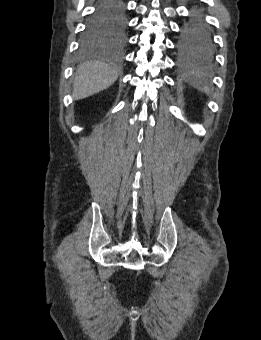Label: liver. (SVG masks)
<instances>
[{
    "label": "liver",
    "instance_id": "liver-1",
    "mask_svg": "<svg viewBox=\"0 0 261 340\" xmlns=\"http://www.w3.org/2000/svg\"><path fill=\"white\" fill-rule=\"evenodd\" d=\"M118 78L117 70L103 62H87L76 71L73 83L75 99H83L110 87Z\"/></svg>",
    "mask_w": 261,
    "mask_h": 340
}]
</instances>
